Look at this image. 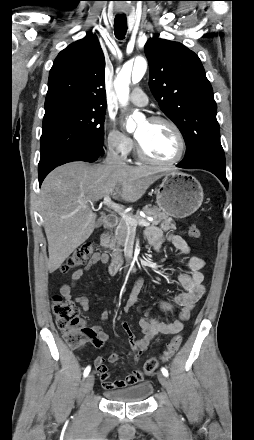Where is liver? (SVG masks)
Masks as SVG:
<instances>
[{
    "instance_id": "obj_1",
    "label": "liver",
    "mask_w": 254,
    "mask_h": 440,
    "mask_svg": "<svg viewBox=\"0 0 254 440\" xmlns=\"http://www.w3.org/2000/svg\"><path fill=\"white\" fill-rule=\"evenodd\" d=\"M161 176L147 167L71 162L54 169L40 190L50 272L84 243L96 226L93 203L106 195L138 201Z\"/></svg>"
}]
</instances>
